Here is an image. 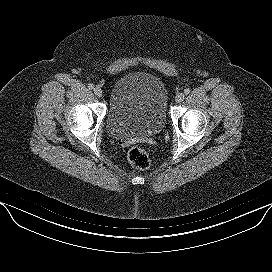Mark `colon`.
<instances>
[{
  "label": "colon",
  "instance_id": "obj_1",
  "mask_svg": "<svg viewBox=\"0 0 272 272\" xmlns=\"http://www.w3.org/2000/svg\"><path fill=\"white\" fill-rule=\"evenodd\" d=\"M128 161L137 169L145 170L150 165V159L147 152L139 146H133L127 154Z\"/></svg>",
  "mask_w": 272,
  "mask_h": 272
}]
</instances>
